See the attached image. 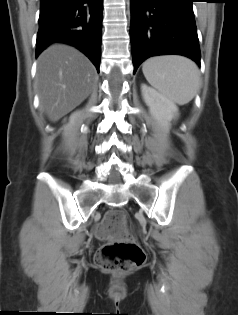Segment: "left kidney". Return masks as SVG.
<instances>
[{
    "mask_svg": "<svg viewBox=\"0 0 238 315\" xmlns=\"http://www.w3.org/2000/svg\"><path fill=\"white\" fill-rule=\"evenodd\" d=\"M142 96L150 113L163 128L168 129L170 122L178 115V107L155 89L142 84Z\"/></svg>",
    "mask_w": 238,
    "mask_h": 315,
    "instance_id": "obj_1",
    "label": "left kidney"
}]
</instances>
